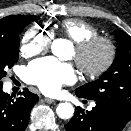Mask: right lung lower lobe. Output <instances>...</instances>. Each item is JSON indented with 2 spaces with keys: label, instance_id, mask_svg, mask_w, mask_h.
Returning a JSON list of instances; mask_svg holds the SVG:
<instances>
[{
  "label": "right lung lower lobe",
  "instance_id": "right-lung-lower-lobe-1",
  "mask_svg": "<svg viewBox=\"0 0 131 131\" xmlns=\"http://www.w3.org/2000/svg\"><path fill=\"white\" fill-rule=\"evenodd\" d=\"M15 100L0 87V131H24L38 96L24 89Z\"/></svg>",
  "mask_w": 131,
  "mask_h": 131
}]
</instances>
